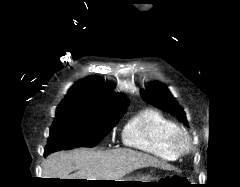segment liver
Returning a JSON list of instances; mask_svg holds the SVG:
<instances>
[{
    "label": "liver",
    "mask_w": 240,
    "mask_h": 187,
    "mask_svg": "<svg viewBox=\"0 0 240 187\" xmlns=\"http://www.w3.org/2000/svg\"><path fill=\"white\" fill-rule=\"evenodd\" d=\"M149 166L168 168L157 158L131 149L79 148L50 154L43 165V178L114 181Z\"/></svg>",
    "instance_id": "6515ba94"
}]
</instances>
